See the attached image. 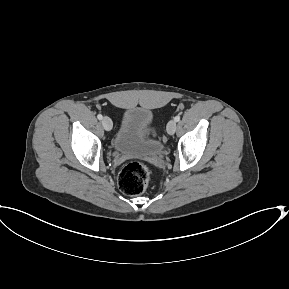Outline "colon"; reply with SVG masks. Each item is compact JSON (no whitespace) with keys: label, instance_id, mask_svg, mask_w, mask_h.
<instances>
[{"label":"colon","instance_id":"5ec220e1","mask_svg":"<svg viewBox=\"0 0 289 289\" xmlns=\"http://www.w3.org/2000/svg\"><path fill=\"white\" fill-rule=\"evenodd\" d=\"M151 181L147 166L139 161H131L120 172L118 185L120 190L130 196L142 194Z\"/></svg>","mask_w":289,"mask_h":289}]
</instances>
